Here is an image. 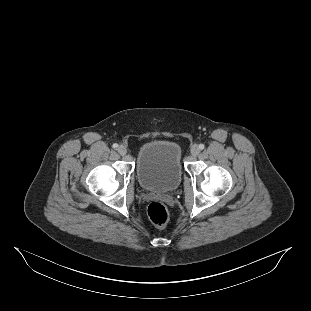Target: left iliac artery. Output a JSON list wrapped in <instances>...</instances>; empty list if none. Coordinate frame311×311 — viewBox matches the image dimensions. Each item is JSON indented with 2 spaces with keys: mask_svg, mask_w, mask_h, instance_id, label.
I'll return each instance as SVG.
<instances>
[{
  "mask_svg": "<svg viewBox=\"0 0 311 311\" xmlns=\"http://www.w3.org/2000/svg\"><path fill=\"white\" fill-rule=\"evenodd\" d=\"M204 147H205L204 144H200V145H199V149H200V150H203Z\"/></svg>",
  "mask_w": 311,
  "mask_h": 311,
  "instance_id": "obj_1",
  "label": "left iliac artery"
}]
</instances>
